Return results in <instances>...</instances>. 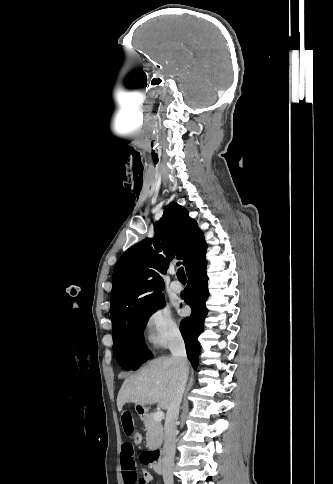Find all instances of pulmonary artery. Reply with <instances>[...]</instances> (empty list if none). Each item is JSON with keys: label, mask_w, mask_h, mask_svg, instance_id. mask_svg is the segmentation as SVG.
<instances>
[{"label": "pulmonary artery", "mask_w": 333, "mask_h": 484, "mask_svg": "<svg viewBox=\"0 0 333 484\" xmlns=\"http://www.w3.org/2000/svg\"><path fill=\"white\" fill-rule=\"evenodd\" d=\"M170 288L175 293H180L183 290V286L178 280H174L171 282Z\"/></svg>", "instance_id": "obj_1"}]
</instances>
